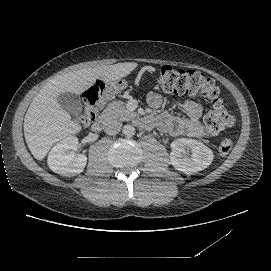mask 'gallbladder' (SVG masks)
Masks as SVG:
<instances>
[{
  "label": "gallbladder",
  "instance_id": "bac80fb5",
  "mask_svg": "<svg viewBox=\"0 0 271 271\" xmlns=\"http://www.w3.org/2000/svg\"><path fill=\"white\" fill-rule=\"evenodd\" d=\"M58 104L71 115L79 116L82 111L81 99L72 93H62L57 98Z\"/></svg>",
  "mask_w": 271,
  "mask_h": 271
}]
</instances>
